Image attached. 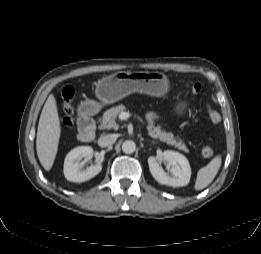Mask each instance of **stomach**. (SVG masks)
Segmentation results:
<instances>
[{
    "label": "stomach",
    "instance_id": "0dacf381",
    "mask_svg": "<svg viewBox=\"0 0 261 254\" xmlns=\"http://www.w3.org/2000/svg\"><path fill=\"white\" fill-rule=\"evenodd\" d=\"M168 90L169 80L163 73L119 71L100 79L95 94L101 103L112 104L135 92L162 97ZM88 106L93 109L96 104L90 103ZM183 109L184 104L178 106L176 111L181 115Z\"/></svg>",
    "mask_w": 261,
    "mask_h": 254
}]
</instances>
